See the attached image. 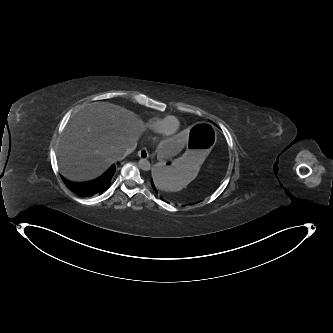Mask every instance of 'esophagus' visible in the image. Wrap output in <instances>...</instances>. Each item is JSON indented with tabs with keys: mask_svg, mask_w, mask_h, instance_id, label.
<instances>
[{
	"mask_svg": "<svg viewBox=\"0 0 333 333\" xmlns=\"http://www.w3.org/2000/svg\"><path fill=\"white\" fill-rule=\"evenodd\" d=\"M138 156L141 159H147L149 157L148 151L146 148H141L138 152Z\"/></svg>",
	"mask_w": 333,
	"mask_h": 333,
	"instance_id": "obj_1",
	"label": "esophagus"
}]
</instances>
